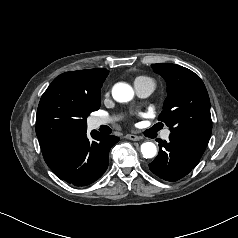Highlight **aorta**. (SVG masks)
Listing matches in <instances>:
<instances>
[{"label": "aorta", "instance_id": "762f6f07", "mask_svg": "<svg viewBox=\"0 0 238 238\" xmlns=\"http://www.w3.org/2000/svg\"><path fill=\"white\" fill-rule=\"evenodd\" d=\"M112 96L117 102H128L133 98L134 91L126 83H117L113 86ZM140 150L144 158H153L157 154V147L153 142L143 143Z\"/></svg>", "mask_w": 238, "mask_h": 238}]
</instances>
